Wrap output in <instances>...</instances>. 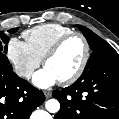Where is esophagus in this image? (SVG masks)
<instances>
[{"instance_id": "obj_1", "label": "esophagus", "mask_w": 119, "mask_h": 119, "mask_svg": "<svg viewBox=\"0 0 119 119\" xmlns=\"http://www.w3.org/2000/svg\"><path fill=\"white\" fill-rule=\"evenodd\" d=\"M44 95H45L46 98H50L51 97V91L50 90H45Z\"/></svg>"}]
</instances>
